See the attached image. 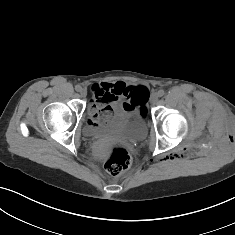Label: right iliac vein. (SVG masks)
<instances>
[{"label":"right iliac vein","instance_id":"right-iliac-vein-1","mask_svg":"<svg viewBox=\"0 0 235 235\" xmlns=\"http://www.w3.org/2000/svg\"><path fill=\"white\" fill-rule=\"evenodd\" d=\"M79 92H80L82 97H86V95H87V90L86 89L82 88Z\"/></svg>","mask_w":235,"mask_h":235}]
</instances>
